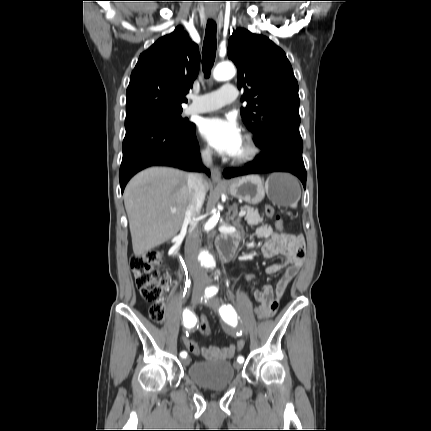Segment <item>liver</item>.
Wrapping results in <instances>:
<instances>
[{"label":"liver","instance_id":"1","mask_svg":"<svg viewBox=\"0 0 431 431\" xmlns=\"http://www.w3.org/2000/svg\"><path fill=\"white\" fill-rule=\"evenodd\" d=\"M188 176L178 169L152 167L138 173L126 186L123 197L136 256L179 232L190 200ZM203 184L207 192L211 186L207 181Z\"/></svg>","mask_w":431,"mask_h":431}]
</instances>
